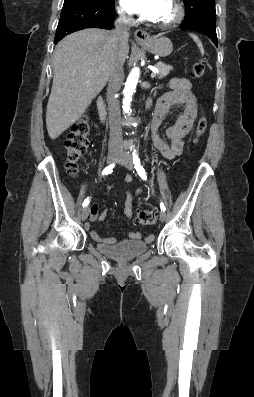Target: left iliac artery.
<instances>
[{"instance_id": "44dca946", "label": "left iliac artery", "mask_w": 254, "mask_h": 397, "mask_svg": "<svg viewBox=\"0 0 254 397\" xmlns=\"http://www.w3.org/2000/svg\"><path fill=\"white\" fill-rule=\"evenodd\" d=\"M133 163L135 165V169H136L138 175L143 180H146L147 179L146 172H145L143 166L141 165L140 158L138 157L136 150H134V153H133ZM160 208H161V211L166 210L165 205L162 202L160 203Z\"/></svg>"}]
</instances>
